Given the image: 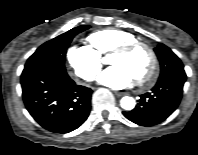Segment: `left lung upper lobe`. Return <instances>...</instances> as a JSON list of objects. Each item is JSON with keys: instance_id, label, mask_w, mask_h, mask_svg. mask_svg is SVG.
<instances>
[{"instance_id": "5c2ea615", "label": "left lung upper lobe", "mask_w": 198, "mask_h": 155, "mask_svg": "<svg viewBox=\"0 0 198 155\" xmlns=\"http://www.w3.org/2000/svg\"><path fill=\"white\" fill-rule=\"evenodd\" d=\"M154 50L161 66L159 80L175 74H185L182 62L167 46L159 44ZM149 115L148 112H144L141 118L148 119Z\"/></svg>"}]
</instances>
